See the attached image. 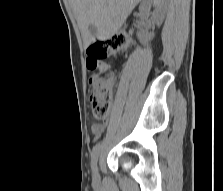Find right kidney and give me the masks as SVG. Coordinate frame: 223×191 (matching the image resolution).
<instances>
[{"label":"right kidney","instance_id":"right-kidney-1","mask_svg":"<svg viewBox=\"0 0 223 191\" xmlns=\"http://www.w3.org/2000/svg\"><path fill=\"white\" fill-rule=\"evenodd\" d=\"M166 5H167L166 0H143V2L140 5V10L141 12H144L151 6L156 7L154 20L157 26H160L165 17ZM153 37L154 33H148L147 30H141L138 33V38L144 42L150 41Z\"/></svg>","mask_w":223,"mask_h":191}]
</instances>
